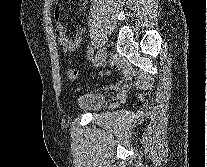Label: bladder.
<instances>
[{"mask_svg":"<svg viewBox=\"0 0 207 167\" xmlns=\"http://www.w3.org/2000/svg\"><path fill=\"white\" fill-rule=\"evenodd\" d=\"M104 103V96L95 92L82 93L76 98L78 108L84 112H96Z\"/></svg>","mask_w":207,"mask_h":167,"instance_id":"31cf9c89","label":"bladder"}]
</instances>
